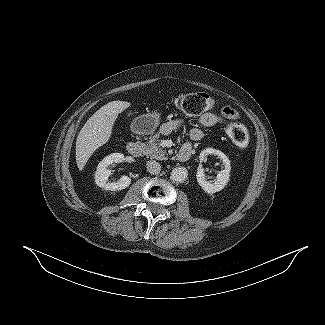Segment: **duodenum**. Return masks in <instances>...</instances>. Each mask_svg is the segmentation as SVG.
<instances>
[{
  "label": "duodenum",
  "mask_w": 325,
  "mask_h": 325,
  "mask_svg": "<svg viewBox=\"0 0 325 325\" xmlns=\"http://www.w3.org/2000/svg\"><path fill=\"white\" fill-rule=\"evenodd\" d=\"M127 151L132 156H135V157L140 156L143 151L142 143L139 141L130 142L127 145ZM191 153H192V146L189 144H186L176 154V160L179 162H185L190 158Z\"/></svg>",
  "instance_id": "1"
}]
</instances>
